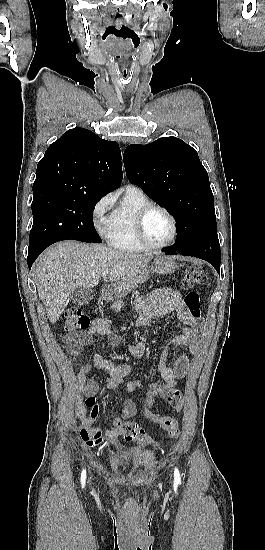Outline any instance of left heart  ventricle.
Returning a JSON list of instances; mask_svg holds the SVG:
<instances>
[{
  "label": "left heart ventricle",
  "mask_w": 265,
  "mask_h": 550,
  "mask_svg": "<svg viewBox=\"0 0 265 550\" xmlns=\"http://www.w3.org/2000/svg\"><path fill=\"white\" fill-rule=\"evenodd\" d=\"M145 232L148 240L153 244L167 242L172 234L169 217L162 211L153 210L146 218Z\"/></svg>",
  "instance_id": "obj_1"
}]
</instances>
